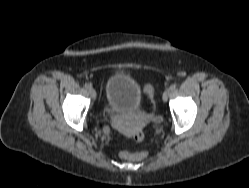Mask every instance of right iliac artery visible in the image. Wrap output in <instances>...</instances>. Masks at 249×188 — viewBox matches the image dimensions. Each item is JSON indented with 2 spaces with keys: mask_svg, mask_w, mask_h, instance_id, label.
Wrapping results in <instances>:
<instances>
[{
  "mask_svg": "<svg viewBox=\"0 0 249 188\" xmlns=\"http://www.w3.org/2000/svg\"><path fill=\"white\" fill-rule=\"evenodd\" d=\"M84 86H85V88H87V89L91 88V85L88 84V83H85Z\"/></svg>",
  "mask_w": 249,
  "mask_h": 188,
  "instance_id": "82829eb1",
  "label": "right iliac artery"
}]
</instances>
